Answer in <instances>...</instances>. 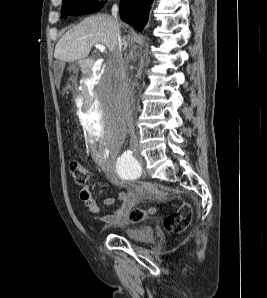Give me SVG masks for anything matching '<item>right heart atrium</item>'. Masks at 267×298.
<instances>
[{
	"label": "right heart atrium",
	"instance_id": "d8ad5b80",
	"mask_svg": "<svg viewBox=\"0 0 267 298\" xmlns=\"http://www.w3.org/2000/svg\"><path fill=\"white\" fill-rule=\"evenodd\" d=\"M104 0H99V2H103Z\"/></svg>",
	"mask_w": 267,
	"mask_h": 298
}]
</instances>
